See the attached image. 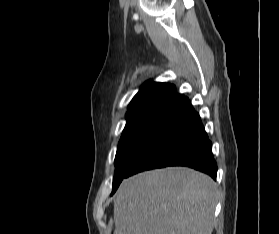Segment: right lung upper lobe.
I'll return each mask as SVG.
<instances>
[{
  "mask_svg": "<svg viewBox=\"0 0 279 234\" xmlns=\"http://www.w3.org/2000/svg\"><path fill=\"white\" fill-rule=\"evenodd\" d=\"M184 98V95L176 93V88L172 84L149 81L134 96L127 113L160 107L173 108Z\"/></svg>",
  "mask_w": 279,
  "mask_h": 234,
  "instance_id": "right-lung-upper-lobe-1",
  "label": "right lung upper lobe"
}]
</instances>
